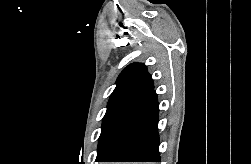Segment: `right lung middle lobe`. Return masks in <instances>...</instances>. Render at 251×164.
<instances>
[{"mask_svg":"<svg viewBox=\"0 0 251 164\" xmlns=\"http://www.w3.org/2000/svg\"><path fill=\"white\" fill-rule=\"evenodd\" d=\"M141 95L142 92L134 90L117 91L111 94L102 122V132L99 137L98 147L103 143L118 118L134 104Z\"/></svg>","mask_w":251,"mask_h":164,"instance_id":"right-lung-middle-lobe-1","label":"right lung middle lobe"}]
</instances>
